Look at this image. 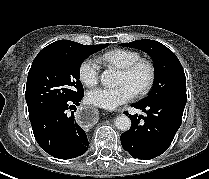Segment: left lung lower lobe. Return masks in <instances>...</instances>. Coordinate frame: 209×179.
I'll return each mask as SVG.
<instances>
[{"mask_svg":"<svg viewBox=\"0 0 209 179\" xmlns=\"http://www.w3.org/2000/svg\"><path fill=\"white\" fill-rule=\"evenodd\" d=\"M186 100V94H175L152 102L133 103V107L142 110L147 116H130L131 128L121 135L123 149L133 158L143 160L165 152L181 125Z\"/></svg>","mask_w":209,"mask_h":179,"instance_id":"left-lung-lower-lobe-1","label":"left lung lower lobe"}]
</instances>
